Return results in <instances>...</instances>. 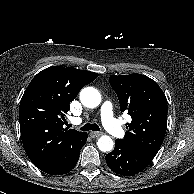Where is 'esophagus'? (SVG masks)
<instances>
[{"label": "esophagus", "instance_id": "esophagus-1", "mask_svg": "<svg viewBox=\"0 0 194 194\" xmlns=\"http://www.w3.org/2000/svg\"><path fill=\"white\" fill-rule=\"evenodd\" d=\"M103 133L102 132H90V136L91 137H99V136H101Z\"/></svg>", "mask_w": 194, "mask_h": 194}]
</instances>
